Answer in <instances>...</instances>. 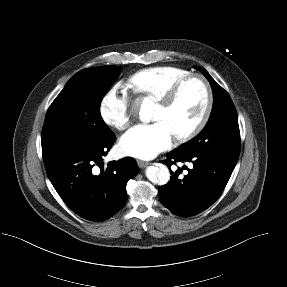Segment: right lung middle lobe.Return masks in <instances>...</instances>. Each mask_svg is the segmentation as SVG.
Segmentation results:
<instances>
[{
  "label": "right lung middle lobe",
  "instance_id": "dd1d6c3e",
  "mask_svg": "<svg viewBox=\"0 0 287 287\" xmlns=\"http://www.w3.org/2000/svg\"><path fill=\"white\" fill-rule=\"evenodd\" d=\"M121 68L100 66L81 70L50 105L42 130L43 155L103 141L112 131L100 114L101 101Z\"/></svg>",
  "mask_w": 287,
  "mask_h": 287
}]
</instances>
